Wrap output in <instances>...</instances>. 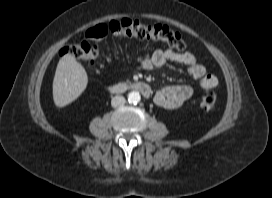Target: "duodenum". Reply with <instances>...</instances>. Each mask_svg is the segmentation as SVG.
I'll use <instances>...</instances> for the list:
<instances>
[{"instance_id": "410a0bca", "label": "duodenum", "mask_w": 272, "mask_h": 198, "mask_svg": "<svg viewBox=\"0 0 272 198\" xmlns=\"http://www.w3.org/2000/svg\"><path fill=\"white\" fill-rule=\"evenodd\" d=\"M129 90H136L145 98H149L152 94L149 84L143 81L136 82H119L108 87V91L112 94H122Z\"/></svg>"}]
</instances>
